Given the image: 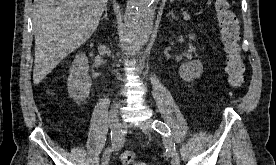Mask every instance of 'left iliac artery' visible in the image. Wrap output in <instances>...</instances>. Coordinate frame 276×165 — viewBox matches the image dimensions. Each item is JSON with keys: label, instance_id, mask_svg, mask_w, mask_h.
<instances>
[{"label": "left iliac artery", "instance_id": "obj_1", "mask_svg": "<svg viewBox=\"0 0 276 165\" xmlns=\"http://www.w3.org/2000/svg\"><path fill=\"white\" fill-rule=\"evenodd\" d=\"M152 128L162 134L165 146L169 153H172L176 150L175 143L172 139L171 131L169 127L162 121L154 120L152 123Z\"/></svg>", "mask_w": 276, "mask_h": 165}]
</instances>
